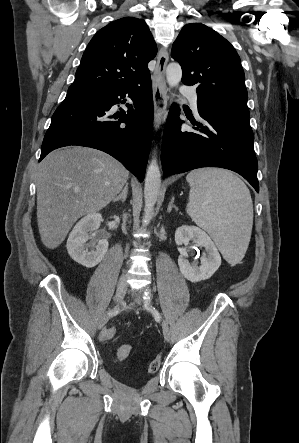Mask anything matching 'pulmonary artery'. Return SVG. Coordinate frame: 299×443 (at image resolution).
I'll list each match as a JSON object with an SVG mask.
<instances>
[{
  "label": "pulmonary artery",
  "instance_id": "pulmonary-artery-1",
  "mask_svg": "<svg viewBox=\"0 0 299 443\" xmlns=\"http://www.w3.org/2000/svg\"><path fill=\"white\" fill-rule=\"evenodd\" d=\"M181 94L189 99L193 111L197 114L198 113V106H197L198 96H197L195 90L190 87H183L181 89Z\"/></svg>",
  "mask_w": 299,
  "mask_h": 443
}]
</instances>
